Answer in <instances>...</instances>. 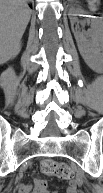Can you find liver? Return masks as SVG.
Listing matches in <instances>:
<instances>
[{
  "label": "liver",
  "instance_id": "6515ba94",
  "mask_svg": "<svg viewBox=\"0 0 103 193\" xmlns=\"http://www.w3.org/2000/svg\"><path fill=\"white\" fill-rule=\"evenodd\" d=\"M31 11L26 0H1L0 60L15 58L21 51V38L26 30Z\"/></svg>",
  "mask_w": 103,
  "mask_h": 193
}]
</instances>
